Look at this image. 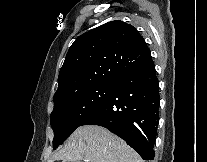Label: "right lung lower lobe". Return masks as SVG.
<instances>
[{"label": "right lung lower lobe", "instance_id": "right-lung-lower-lobe-1", "mask_svg": "<svg viewBox=\"0 0 207 162\" xmlns=\"http://www.w3.org/2000/svg\"><path fill=\"white\" fill-rule=\"evenodd\" d=\"M109 98L82 125H99L124 139L143 160H153L159 120V84L152 60L115 83ZM81 125V126H82Z\"/></svg>", "mask_w": 207, "mask_h": 162}]
</instances>
